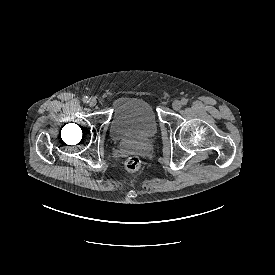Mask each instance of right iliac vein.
Wrapping results in <instances>:
<instances>
[{
  "instance_id": "63e3f726",
  "label": "right iliac vein",
  "mask_w": 275,
  "mask_h": 275,
  "mask_svg": "<svg viewBox=\"0 0 275 275\" xmlns=\"http://www.w3.org/2000/svg\"><path fill=\"white\" fill-rule=\"evenodd\" d=\"M96 104H97V100L95 98H91L89 100V106L90 107H94V106H96Z\"/></svg>"
}]
</instances>
